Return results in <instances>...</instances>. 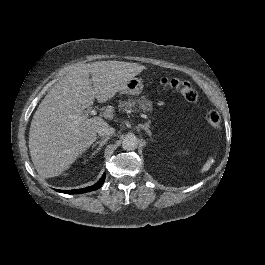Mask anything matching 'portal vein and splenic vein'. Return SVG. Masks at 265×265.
Returning <instances> with one entry per match:
<instances>
[{"label":"portal vein and splenic vein","instance_id":"obj_1","mask_svg":"<svg viewBox=\"0 0 265 265\" xmlns=\"http://www.w3.org/2000/svg\"><path fill=\"white\" fill-rule=\"evenodd\" d=\"M91 115H96V111L95 110H92L91 111ZM86 115H83V116H74V124H77L80 120H82ZM138 116L139 117H142L143 119H146L147 118V115L146 114H143L142 112H139L138 113Z\"/></svg>","mask_w":265,"mask_h":265}]
</instances>
